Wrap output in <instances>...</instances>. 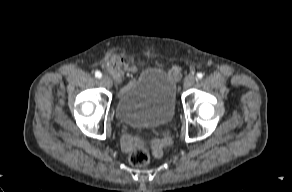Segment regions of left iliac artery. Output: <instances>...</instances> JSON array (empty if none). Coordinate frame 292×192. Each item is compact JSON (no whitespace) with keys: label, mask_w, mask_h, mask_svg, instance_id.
Segmentation results:
<instances>
[{"label":"left iliac artery","mask_w":292,"mask_h":192,"mask_svg":"<svg viewBox=\"0 0 292 192\" xmlns=\"http://www.w3.org/2000/svg\"><path fill=\"white\" fill-rule=\"evenodd\" d=\"M196 77H197V79H202L203 78V74L202 73H197Z\"/></svg>","instance_id":"left-iliac-artery-1"}]
</instances>
